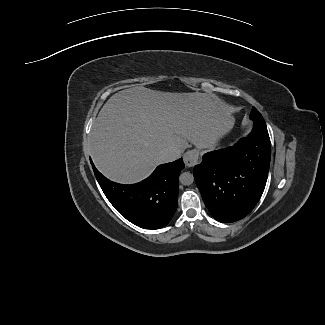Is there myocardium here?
<instances>
[{"mask_svg": "<svg viewBox=\"0 0 325 325\" xmlns=\"http://www.w3.org/2000/svg\"><path fill=\"white\" fill-rule=\"evenodd\" d=\"M224 132L225 129L223 127H218L214 133V137L219 138Z\"/></svg>", "mask_w": 325, "mask_h": 325, "instance_id": "myocardium-1", "label": "myocardium"}]
</instances>
